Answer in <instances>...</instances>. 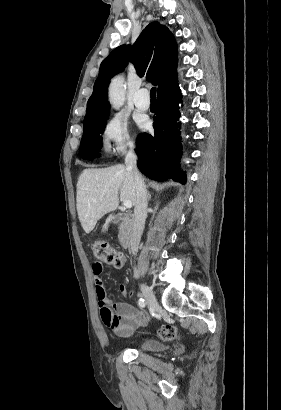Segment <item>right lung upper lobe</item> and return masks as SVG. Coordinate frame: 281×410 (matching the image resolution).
Returning <instances> with one entry per match:
<instances>
[{
  "mask_svg": "<svg viewBox=\"0 0 281 410\" xmlns=\"http://www.w3.org/2000/svg\"><path fill=\"white\" fill-rule=\"evenodd\" d=\"M177 45L167 27L151 22L134 45L114 49L100 65L99 76L88 100L84 123L98 119L110 111L107 86L110 79L131 61L139 76L158 86V93L177 84Z\"/></svg>",
  "mask_w": 281,
  "mask_h": 410,
  "instance_id": "obj_1",
  "label": "right lung upper lobe"
}]
</instances>
